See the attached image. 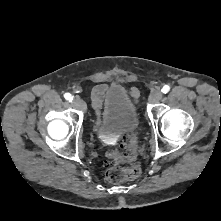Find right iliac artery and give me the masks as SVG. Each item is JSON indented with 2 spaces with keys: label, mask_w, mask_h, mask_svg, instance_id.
<instances>
[{
  "label": "right iliac artery",
  "mask_w": 221,
  "mask_h": 221,
  "mask_svg": "<svg viewBox=\"0 0 221 221\" xmlns=\"http://www.w3.org/2000/svg\"><path fill=\"white\" fill-rule=\"evenodd\" d=\"M64 98L69 102H72V100H73V97L70 93H65Z\"/></svg>",
  "instance_id": "right-iliac-artery-1"
}]
</instances>
